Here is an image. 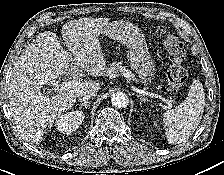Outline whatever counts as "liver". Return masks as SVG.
I'll return each instance as SVG.
<instances>
[{"mask_svg": "<svg viewBox=\"0 0 224 175\" xmlns=\"http://www.w3.org/2000/svg\"><path fill=\"white\" fill-rule=\"evenodd\" d=\"M108 24L106 18L69 21L61 33L70 52L63 49L54 32L44 31L19 57L9 83L8 106L23 140L38 144L44 131L71 109L80 91L100 89L99 82L92 80L61 89L57 79L61 75L76 78L82 70L93 77L103 75L106 61L98 36ZM44 85L55 86L57 94L45 96Z\"/></svg>", "mask_w": 224, "mask_h": 175, "instance_id": "1", "label": "liver"}]
</instances>
